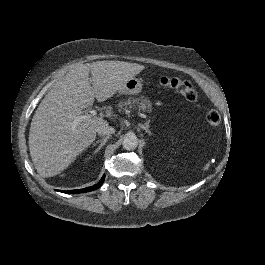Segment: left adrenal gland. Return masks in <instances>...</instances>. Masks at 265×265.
Masks as SVG:
<instances>
[{
  "mask_svg": "<svg viewBox=\"0 0 265 265\" xmlns=\"http://www.w3.org/2000/svg\"><path fill=\"white\" fill-rule=\"evenodd\" d=\"M149 122H150V120L147 119L143 124L142 123H139V127L141 129L145 130V132H147V133L150 134L151 132H150V129H149Z\"/></svg>",
  "mask_w": 265,
  "mask_h": 265,
  "instance_id": "obj_1",
  "label": "left adrenal gland"
}]
</instances>
